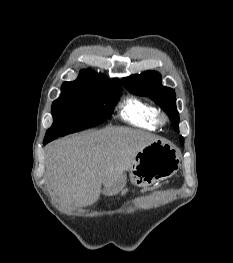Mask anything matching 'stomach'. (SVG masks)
<instances>
[{
    "instance_id": "stomach-1",
    "label": "stomach",
    "mask_w": 233,
    "mask_h": 263,
    "mask_svg": "<svg viewBox=\"0 0 233 263\" xmlns=\"http://www.w3.org/2000/svg\"><path fill=\"white\" fill-rule=\"evenodd\" d=\"M180 167V151L174 145L157 139L137 152L128 174L132 184L147 188L172 177ZM126 175L121 182L105 190L107 195H116L126 186Z\"/></svg>"
}]
</instances>
